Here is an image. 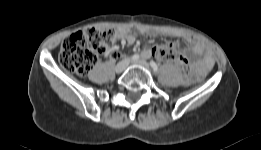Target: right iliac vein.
<instances>
[{
    "instance_id": "obj_1",
    "label": "right iliac vein",
    "mask_w": 261,
    "mask_h": 150,
    "mask_svg": "<svg viewBox=\"0 0 261 150\" xmlns=\"http://www.w3.org/2000/svg\"><path fill=\"white\" fill-rule=\"evenodd\" d=\"M128 64H129V60H128V59L122 60L121 62H119V63L116 65L115 71H116L117 73L123 72V71L127 68Z\"/></svg>"
}]
</instances>
